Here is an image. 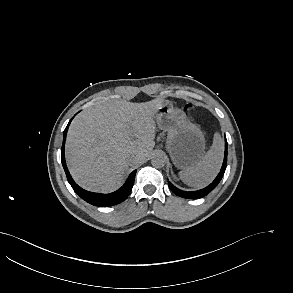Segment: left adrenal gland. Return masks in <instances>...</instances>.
<instances>
[{"label": "left adrenal gland", "instance_id": "1", "mask_svg": "<svg viewBox=\"0 0 293 293\" xmlns=\"http://www.w3.org/2000/svg\"><path fill=\"white\" fill-rule=\"evenodd\" d=\"M171 174L173 175V177H175V175H174V173H173V171L171 170Z\"/></svg>", "mask_w": 293, "mask_h": 293}]
</instances>
